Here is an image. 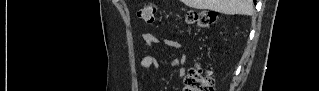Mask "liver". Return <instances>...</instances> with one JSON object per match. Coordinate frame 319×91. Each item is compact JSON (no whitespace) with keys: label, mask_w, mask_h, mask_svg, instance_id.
<instances>
[{"label":"liver","mask_w":319,"mask_h":91,"mask_svg":"<svg viewBox=\"0 0 319 91\" xmlns=\"http://www.w3.org/2000/svg\"><path fill=\"white\" fill-rule=\"evenodd\" d=\"M191 8L214 10L227 15H251L253 0H182Z\"/></svg>","instance_id":"1"}]
</instances>
